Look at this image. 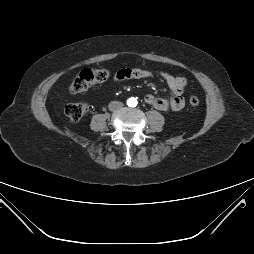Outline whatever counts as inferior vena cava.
Listing matches in <instances>:
<instances>
[{"instance_id":"1","label":"inferior vena cava","mask_w":254,"mask_h":254,"mask_svg":"<svg viewBox=\"0 0 254 254\" xmlns=\"http://www.w3.org/2000/svg\"><path fill=\"white\" fill-rule=\"evenodd\" d=\"M123 106L122 102L119 101H112L109 103V109L110 110H116Z\"/></svg>"}]
</instances>
